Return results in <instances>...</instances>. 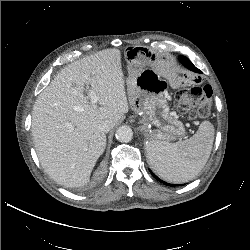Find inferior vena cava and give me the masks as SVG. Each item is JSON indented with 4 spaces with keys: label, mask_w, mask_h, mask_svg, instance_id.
Segmentation results:
<instances>
[{
    "label": "inferior vena cava",
    "mask_w": 250,
    "mask_h": 250,
    "mask_svg": "<svg viewBox=\"0 0 250 250\" xmlns=\"http://www.w3.org/2000/svg\"><path fill=\"white\" fill-rule=\"evenodd\" d=\"M111 126L109 123L107 122H102L100 125H99V130L101 132H104V133H107L109 130H110Z\"/></svg>",
    "instance_id": "inferior-vena-cava-1"
}]
</instances>
